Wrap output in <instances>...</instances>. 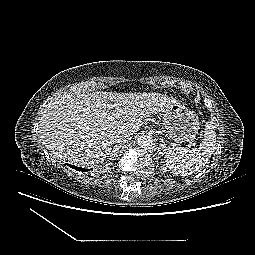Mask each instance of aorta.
Listing matches in <instances>:
<instances>
[{"mask_svg":"<svg viewBox=\"0 0 255 255\" xmlns=\"http://www.w3.org/2000/svg\"><path fill=\"white\" fill-rule=\"evenodd\" d=\"M137 144L141 148L150 149L153 146V140L148 135H142L138 137Z\"/></svg>","mask_w":255,"mask_h":255,"instance_id":"762f6f07","label":"aorta"}]
</instances>
